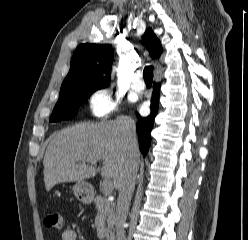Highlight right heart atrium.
<instances>
[{
	"label": "right heart atrium",
	"instance_id": "d8ad5b80",
	"mask_svg": "<svg viewBox=\"0 0 248 240\" xmlns=\"http://www.w3.org/2000/svg\"><path fill=\"white\" fill-rule=\"evenodd\" d=\"M87 102L89 113L98 119L109 117L118 110L120 105V100L112 95L108 87L93 90Z\"/></svg>",
	"mask_w": 248,
	"mask_h": 240
}]
</instances>
